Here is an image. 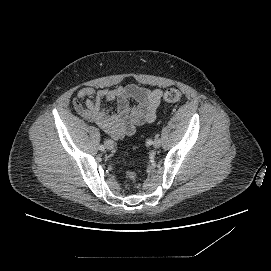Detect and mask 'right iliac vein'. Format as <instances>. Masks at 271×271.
<instances>
[{
  "mask_svg": "<svg viewBox=\"0 0 271 271\" xmlns=\"http://www.w3.org/2000/svg\"><path fill=\"white\" fill-rule=\"evenodd\" d=\"M105 145H106V148L108 149V150H111V149H113V147H114V143H113V141L112 140H107L106 142H105Z\"/></svg>",
  "mask_w": 271,
  "mask_h": 271,
  "instance_id": "1",
  "label": "right iliac vein"
}]
</instances>
